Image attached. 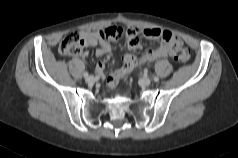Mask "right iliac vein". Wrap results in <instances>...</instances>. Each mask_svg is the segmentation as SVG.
I'll return each instance as SVG.
<instances>
[{
    "mask_svg": "<svg viewBox=\"0 0 238 158\" xmlns=\"http://www.w3.org/2000/svg\"><path fill=\"white\" fill-rule=\"evenodd\" d=\"M86 82L89 84H93L95 82V78L93 76L86 77Z\"/></svg>",
    "mask_w": 238,
    "mask_h": 158,
    "instance_id": "right-iliac-vein-1",
    "label": "right iliac vein"
}]
</instances>
